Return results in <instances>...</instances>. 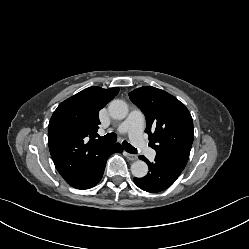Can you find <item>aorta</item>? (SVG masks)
I'll return each mask as SVG.
<instances>
[{"label": "aorta", "instance_id": "1", "mask_svg": "<svg viewBox=\"0 0 249 249\" xmlns=\"http://www.w3.org/2000/svg\"><path fill=\"white\" fill-rule=\"evenodd\" d=\"M108 111L113 119L122 120L128 114V106L123 100H113L108 106ZM131 172L136 178H143L148 173V166L144 161L137 160L131 165Z\"/></svg>", "mask_w": 249, "mask_h": 249}]
</instances>
